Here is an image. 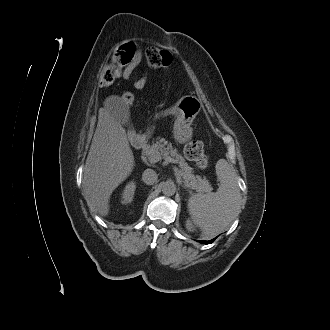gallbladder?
<instances>
[{"instance_id": "obj_1", "label": "gallbladder", "mask_w": 330, "mask_h": 330, "mask_svg": "<svg viewBox=\"0 0 330 330\" xmlns=\"http://www.w3.org/2000/svg\"><path fill=\"white\" fill-rule=\"evenodd\" d=\"M115 112L120 120V123L122 125L128 126L129 125V121H130V111L128 109V107L123 104V103H119V106L115 109Z\"/></svg>"}]
</instances>
